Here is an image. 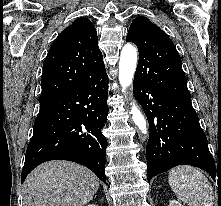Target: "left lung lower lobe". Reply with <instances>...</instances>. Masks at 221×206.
Instances as JSON below:
<instances>
[{"label":"left lung lower lobe","instance_id":"1","mask_svg":"<svg viewBox=\"0 0 221 206\" xmlns=\"http://www.w3.org/2000/svg\"><path fill=\"white\" fill-rule=\"evenodd\" d=\"M133 92L149 122L147 180L177 165H192L215 180V162L191 100L165 95L134 81Z\"/></svg>","mask_w":221,"mask_h":206}]
</instances>
